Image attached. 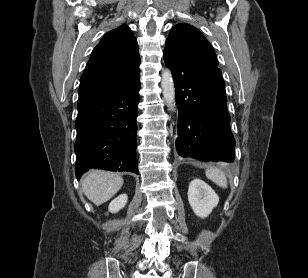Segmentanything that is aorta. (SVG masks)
<instances>
[{
	"mask_svg": "<svg viewBox=\"0 0 308 278\" xmlns=\"http://www.w3.org/2000/svg\"><path fill=\"white\" fill-rule=\"evenodd\" d=\"M161 87L163 89V96L171 111L175 107V88L172 73L169 69L162 72Z\"/></svg>",
	"mask_w": 308,
	"mask_h": 278,
	"instance_id": "obj_1",
	"label": "aorta"
}]
</instances>
